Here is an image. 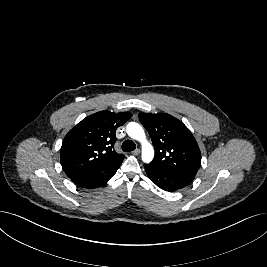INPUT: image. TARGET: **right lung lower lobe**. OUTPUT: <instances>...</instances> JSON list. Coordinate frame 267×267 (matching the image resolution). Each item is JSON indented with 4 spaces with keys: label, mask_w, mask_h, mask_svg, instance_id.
<instances>
[{
    "label": "right lung lower lobe",
    "mask_w": 267,
    "mask_h": 267,
    "mask_svg": "<svg viewBox=\"0 0 267 267\" xmlns=\"http://www.w3.org/2000/svg\"><path fill=\"white\" fill-rule=\"evenodd\" d=\"M121 163L122 161L112 162L73 176L70 179L82 188L101 187L116 173Z\"/></svg>",
    "instance_id": "right-lung-lower-lobe-1"
}]
</instances>
